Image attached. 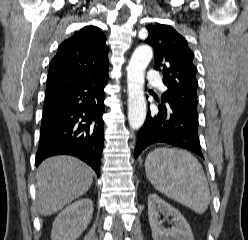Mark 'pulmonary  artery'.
<instances>
[{
    "label": "pulmonary artery",
    "instance_id": "obj_1",
    "mask_svg": "<svg viewBox=\"0 0 248 240\" xmlns=\"http://www.w3.org/2000/svg\"><path fill=\"white\" fill-rule=\"evenodd\" d=\"M147 80L150 82V83H156L160 80V75L158 72H155V71H151L148 73V76H147ZM163 89H165L163 87Z\"/></svg>",
    "mask_w": 248,
    "mask_h": 240
}]
</instances>
